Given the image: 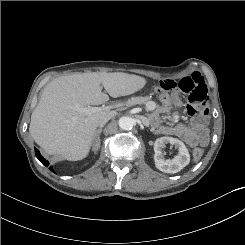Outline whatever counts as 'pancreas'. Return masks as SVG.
I'll return each instance as SVG.
<instances>
[{
	"instance_id": "obj_1",
	"label": "pancreas",
	"mask_w": 245,
	"mask_h": 245,
	"mask_svg": "<svg viewBox=\"0 0 245 245\" xmlns=\"http://www.w3.org/2000/svg\"><path fill=\"white\" fill-rule=\"evenodd\" d=\"M150 100L149 97H132L131 99H129L128 101H126V105L127 106H132V105H143L148 103Z\"/></svg>"
}]
</instances>
